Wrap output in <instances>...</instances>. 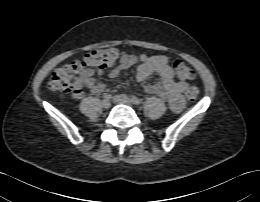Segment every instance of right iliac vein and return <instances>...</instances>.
Wrapping results in <instances>:
<instances>
[{"label": "right iliac vein", "instance_id": "obj_1", "mask_svg": "<svg viewBox=\"0 0 260 202\" xmlns=\"http://www.w3.org/2000/svg\"><path fill=\"white\" fill-rule=\"evenodd\" d=\"M101 103H102V107H103V108H106V109L111 106V102H110V100L107 99V98H104Z\"/></svg>", "mask_w": 260, "mask_h": 202}]
</instances>
